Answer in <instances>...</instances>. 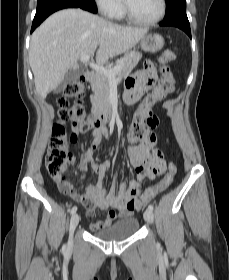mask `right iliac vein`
I'll return each instance as SVG.
<instances>
[{
  "label": "right iliac vein",
  "mask_w": 229,
  "mask_h": 280,
  "mask_svg": "<svg viewBox=\"0 0 229 280\" xmlns=\"http://www.w3.org/2000/svg\"><path fill=\"white\" fill-rule=\"evenodd\" d=\"M79 221H80L79 214H77V213L73 214V216L71 217V220H70V227H69L70 239H69V242H72V235H73L74 230L77 227Z\"/></svg>",
  "instance_id": "1"
}]
</instances>
